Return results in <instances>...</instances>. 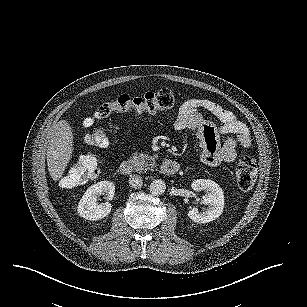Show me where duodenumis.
I'll return each mask as SVG.
<instances>
[{"mask_svg": "<svg viewBox=\"0 0 307 307\" xmlns=\"http://www.w3.org/2000/svg\"><path fill=\"white\" fill-rule=\"evenodd\" d=\"M180 170V165L174 160L166 159L160 165V171L164 175L172 176ZM120 172L123 175H130L133 172V164L129 160H124L120 164Z\"/></svg>", "mask_w": 307, "mask_h": 307, "instance_id": "obj_1", "label": "duodenum"}]
</instances>
